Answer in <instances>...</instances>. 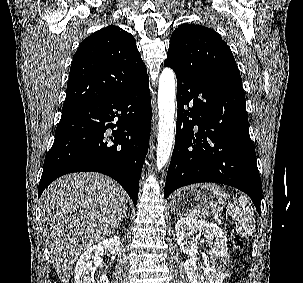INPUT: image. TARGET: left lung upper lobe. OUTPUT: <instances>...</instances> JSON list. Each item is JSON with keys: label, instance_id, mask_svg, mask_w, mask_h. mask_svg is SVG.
<instances>
[{"label": "left lung upper lobe", "instance_id": "left-lung-upper-lobe-1", "mask_svg": "<svg viewBox=\"0 0 303 283\" xmlns=\"http://www.w3.org/2000/svg\"><path fill=\"white\" fill-rule=\"evenodd\" d=\"M165 64L191 76L226 75L241 82L233 54L214 30L184 23L172 33Z\"/></svg>", "mask_w": 303, "mask_h": 283}]
</instances>
